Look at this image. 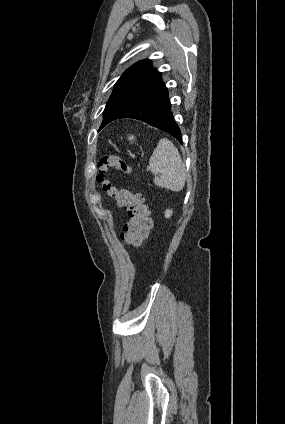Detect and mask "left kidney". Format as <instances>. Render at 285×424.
<instances>
[{
  "label": "left kidney",
  "instance_id": "5707ae66",
  "mask_svg": "<svg viewBox=\"0 0 285 424\" xmlns=\"http://www.w3.org/2000/svg\"><path fill=\"white\" fill-rule=\"evenodd\" d=\"M172 214H173V211H172V210L167 209V210L165 211V217H166V218L171 217V216H172Z\"/></svg>",
  "mask_w": 285,
  "mask_h": 424
}]
</instances>
